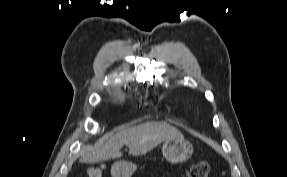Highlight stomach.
Masks as SVG:
<instances>
[{
    "instance_id": "0dacf381",
    "label": "stomach",
    "mask_w": 287,
    "mask_h": 177,
    "mask_svg": "<svg viewBox=\"0 0 287 177\" xmlns=\"http://www.w3.org/2000/svg\"><path fill=\"white\" fill-rule=\"evenodd\" d=\"M163 156L171 163H182L193 154V146L184 138L166 140L162 146ZM137 166L131 162L118 161L111 167L112 177H131Z\"/></svg>"
}]
</instances>
